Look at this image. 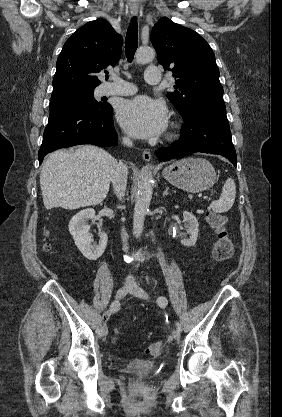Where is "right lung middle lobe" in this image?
<instances>
[{
  "label": "right lung middle lobe",
  "instance_id": "right-lung-middle-lobe-1",
  "mask_svg": "<svg viewBox=\"0 0 282 417\" xmlns=\"http://www.w3.org/2000/svg\"><path fill=\"white\" fill-rule=\"evenodd\" d=\"M94 89H82L52 94L50 111L71 104L92 105L101 107L105 103L97 102L93 96Z\"/></svg>",
  "mask_w": 282,
  "mask_h": 417
}]
</instances>
